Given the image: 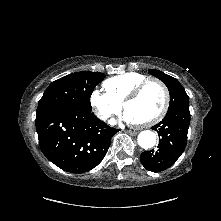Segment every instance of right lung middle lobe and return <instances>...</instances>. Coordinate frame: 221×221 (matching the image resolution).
I'll return each instance as SVG.
<instances>
[{
  "label": "right lung middle lobe",
  "mask_w": 221,
  "mask_h": 221,
  "mask_svg": "<svg viewBox=\"0 0 221 221\" xmlns=\"http://www.w3.org/2000/svg\"><path fill=\"white\" fill-rule=\"evenodd\" d=\"M105 75L98 72H76L50 84L38 102L36 116L62 106H78L92 110L90 96Z\"/></svg>",
  "instance_id": "dd1d6c3e"
}]
</instances>
